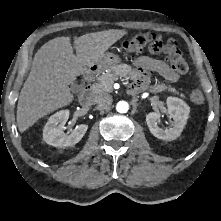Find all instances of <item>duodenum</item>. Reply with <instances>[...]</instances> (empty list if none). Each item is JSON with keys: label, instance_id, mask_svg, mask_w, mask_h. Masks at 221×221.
<instances>
[{"label": "duodenum", "instance_id": "duodenum-1", "mask_svg": "<svg viewBox=\"0 0 221 221\" xmlns=\"http://www.w3.org/2000/svg\"><path fill=\"white\" fill-rule=\"evenodd\" d=\"M97 71H98V68L96 66H94L88 71V73L85 76V84H84L81 94H80V101L83 104H87L91 101L92 88L90 85V81L93 78V76L97 73Z\"/></svg>", "mask_w": 221, "mask_h": 221}]
</instances>
